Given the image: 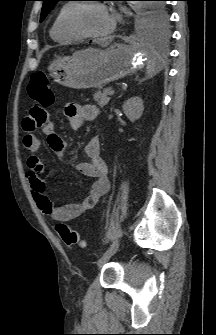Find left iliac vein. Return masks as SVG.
I'll use <instances>...</instances> for the list:
<instances>
[{"label":"left iliac vein","mask_w":216,"mask_h":335,"mask_svg":"<svg viewBox=\"0 0 216 335\" xmlns=\"http://www.w3.org/2000/svg\"><path fill=\"white\" fill-rule=\"evenodd\" d=\"M112 254L103 255L97 262L98 267L103 266L106 262H108L111 258Z\"/></svg>","instance_id":"4c4485c4"}]
</instances>
